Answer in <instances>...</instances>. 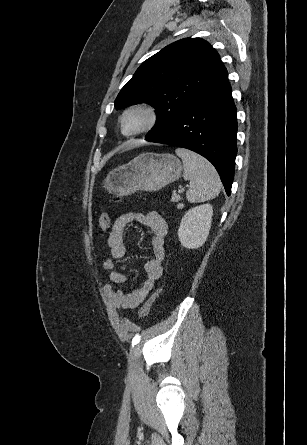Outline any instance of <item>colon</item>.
<instances>
[{"label": "colon", "instance_id": "5ec220e1", "mask_svg": "<svg viewBox=\"0 0 307 445\" xmlns=\"http://www.w3.org/2000/svg\"><path fill=\"white\" fill-rule=\"evenodd\" d=\"M115 201L119 200V197H114ZM111 224V215L108 212L102 213L98 220V227L101 232H105L109 229ZM162 291V287H159L153 295L143 304V306L139 310L140 318H145L149 313L154 301L159 296Z\"/></svg>", "mask_w": 307, "mask_h": 445}]
</instances>
